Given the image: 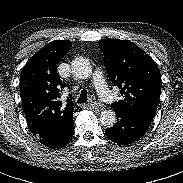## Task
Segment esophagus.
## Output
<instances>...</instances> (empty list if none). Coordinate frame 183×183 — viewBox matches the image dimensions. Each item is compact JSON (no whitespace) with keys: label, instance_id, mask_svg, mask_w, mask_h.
Listing matches in <instances>:
<instances>
[{"label":"esophagus","instance_id":"esophagus-1","mask_svg":"<svg viewBox=\"0 0 183 183\" xmlns=\"http://www.w3.org/2000/svg\"><path fill=\"white\" fill-rule=\"evenodd\" d=\"M84 107L87 108V109L94 110L96 112H100V111L103 110L102 105H100L99 103H96V102H94V103L93 102L92 103H87V104H85Z\"/></svg>","mask_w":183,"mask_h":183}]
</instances>
